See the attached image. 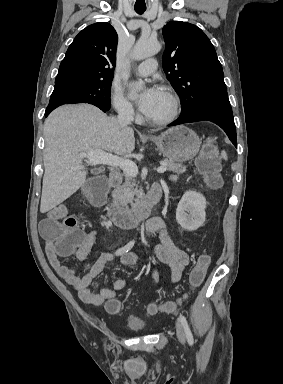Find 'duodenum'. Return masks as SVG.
Masks as SVG:
<instances>
[{"label": "duodenum", "instance_id": "1", "mask_svg": "<svg viewBox=\"0 0 283 384\" xmlns=\"http://www.w3.org/2000/svg\"><path fill=\"white\" fill-rule=\"evenodd\" d=\"M113 184L121 182V174L118 170L109 176ZM162 196V188L159 184H153L144 196L143 202L132 212H123L118 209H110L107 215L110 220L119 227H134L147 218Z\"/></svg>", "mask_w": 283, "mask_h": 384}]
</instances>
